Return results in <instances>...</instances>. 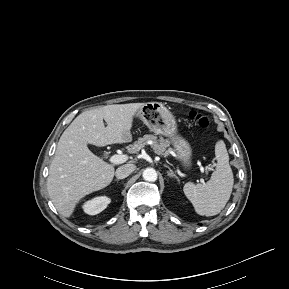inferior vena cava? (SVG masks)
Segmentation results:
<instances>
[{"label":"inferior vena cava","instance_id":"602c4592","mask_svg":"<svg viewBox=\"0 0 289 289\" xmlns=\"http://www.w3.org/2000/svg\"><path fill=\"white\" fill-rule=\"evenodd\" d=\"M135 169L136 166L133 164L122 165L117 168L115 175L118 179H124L128 177Z\"/></svg>","mask_w":289,"mask_h":289}]
</instances>
